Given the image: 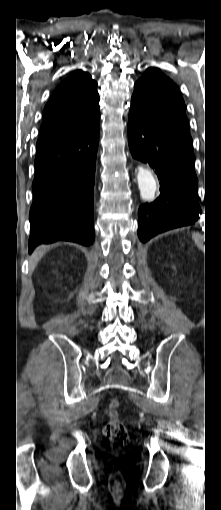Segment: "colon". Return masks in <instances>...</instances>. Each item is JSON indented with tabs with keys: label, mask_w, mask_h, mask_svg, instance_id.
<instances>
[{
	"label": "colon",
	"mask_w": 221,
	"mask_h": 510,
	"mask_svg": "<svg viewBox=\"0 0 221 510\" xmlns=\"http://www.w3.org/2000/svg\"><path fill=\"white\" fill-rule=\"evenodd\" d=\"M119 401L112 399L109 402L108 415L111 419L104 427V435L108 438L112 448L119 449L125 447L129 442V435L124 424L116 418L119 408Z\"/></svg>",
	"instance_id": "5ec220e1"
}]
</instances>
